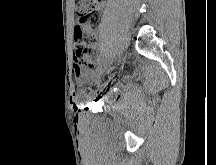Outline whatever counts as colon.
Returning <instances> with one entry per match:
<instances>
[{"label":"colon","instance_id":"5ec220e1","mask_svg":"<svg viewBox=\"0 0 216 165\" xmlns=\"http://www.w3.org/2000/svg\"><path fill=\"white\" fill-rule=\"evenodd\" d=\"M104 0H76L75 9L78 15L74 29V59L79 67L95 69L98 52L95 47L97 28L100 22L99 8Z\"/></svg>","mask_w":216,"mask_h":165}]
</instances>
